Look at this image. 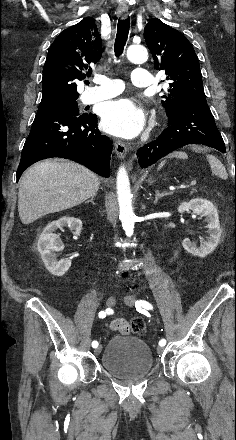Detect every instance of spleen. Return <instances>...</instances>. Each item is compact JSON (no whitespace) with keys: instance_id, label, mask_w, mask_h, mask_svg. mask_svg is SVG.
Here are the masks:
<instances>
[{"instance_id":"3e777b00","label":"spleen","mask_w":236,"mask_h":440,"mask_svg":"<svg viewBox=\"0 0 236 440\" xmlns=\"http://www.w3.org/2000/svg\"><path fill=\"white\" fill-rule=\"evenodd\" d=\"M206 157L208 159L212 172L222 179H227L228 175L223 164L212 155H207ZM164 164L165 161H162L158 166V170H160L164 166Z\"/></svg>"}]
</instances>
